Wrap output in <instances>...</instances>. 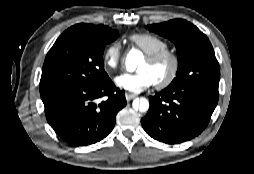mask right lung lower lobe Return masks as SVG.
I'll return each instance as SVG.
<instances>
[{"label":"right lung lower lobe","instance_id":"1","mask_svg":"<svg viewBox=\"0 0 254 174\" xmlns=\"http://www.w3.org/2000/svg\"><path fill=\"white\" fill-rule=\"evenodd\" d=\"M105 97L102 102L98 99ZM48 123L57 135L75 146L105 138L116 114L126 105L125 92L108 78L96 86L69 87L41 95Z\"/></svg>","mask_w":254,"mask_h":174}]
</instances>
